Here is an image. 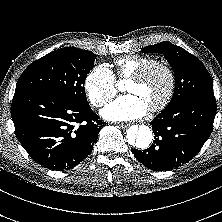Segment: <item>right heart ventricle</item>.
I'll return each instance as SVG.
<instances>
[{
  "mask_svg": "<svg viewBox=\"0 0 222 222\" xmlns=\"http://www.w3.org/2000/svg\"><path fill=\"white\" fill-rule=\"evenodd\" d=\"M154 61L153 58L146 56H126L114 61L116 72L119 78L128 79L142 66Z\"/></svg>",
  "mask_w": 222,
  "mask_h": 222,
  "instance_id": "1",
  "label": "right heart ventricle"
}]
</instances>
